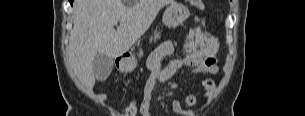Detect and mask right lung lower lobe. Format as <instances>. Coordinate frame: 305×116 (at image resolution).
I'll list each match as a JSON object with an SVG mask.
<instances>
[{
	"instance_id": "right-lung-lower-lobe-1",
	"label": "right lung lower lobe",
	"mask_w": 305,
	"mask_h": 116,
	"mask_svg": "<svg viewBox=\"0 0 305 116\" xmlns=\"http://www.w3.org/2000/svg\"><path fill=\"white\" fill-rule=\"evenodd\" d=\"M69 1H70L71 4L73 3V0H69Z\"/></svg>"
}]
</instances>
